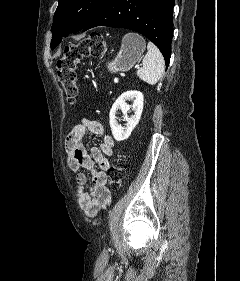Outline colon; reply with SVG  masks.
Masks as SVG:
<instances>
[{
  "label": "colon",
  "mask_w": 240,
  "mask_h": 281,
  "mask_svg": "<svg viewBox=\"0 0 240 281\" xmlns=\"http://www.w3.org/2000/svg\"><path fill=\"white\" fill-rule=\"evenodd\" d=\"M105 52L106 41L99 33H92L65 48L63 55L57 60V74L69 103H74L78 95L77 66L79 62L88 56H103ZM125 173L126 161L123 156H118L108 170V184L112 191L121 188Z\"/></svg>",
  "instance_id": "colon-1"
}]
</instances>
